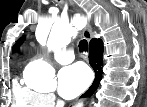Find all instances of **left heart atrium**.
I'll return each mask as SVG.
<instances>
[{"label":"left heart atrium","instance_id":"left-heart-atrium-1","mask_svg":"<svg viewBox=\"0 0 147 107\" xmlns=\"http://www.w3.org/2000/svg\"><path fill=\"white\" fill-rule=\"evenodd\" d=\"M91 80L89 69L83 64L64 67L58 75V92L61 97L71 99L82 93Z\"/></svg>","mask_w":147,"mask_h":107}]
</instances>
